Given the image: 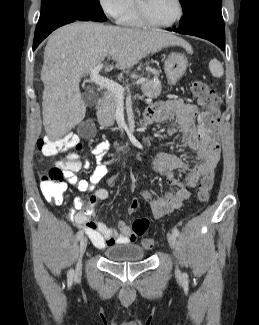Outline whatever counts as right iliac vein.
Returning a JSON list of instances; mask_svg holds the SVG:
<instances>
[{"label":"right iliac vein","mask_w":259,"mask_h":325,"mask_svg":"<svg viewBox=\"0 0 259 325\" xmlns=\"http://www.w3.org/2000/svg\"><path fill=\"white\" fill-rule=\"evenodd\" d=\"M87 237H82L81 240H80V244H79V259H78V262H77V265H76V269H75V277H78L80 276L81 274V271H82V262H81V259H82V256L86 250V247H87Z\"/></svg>","instance_id":"63e3f726"}]
</instances>
